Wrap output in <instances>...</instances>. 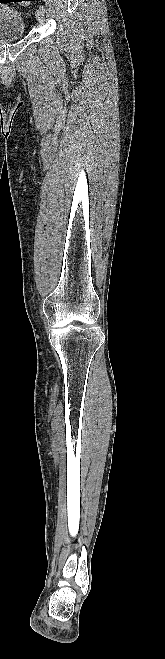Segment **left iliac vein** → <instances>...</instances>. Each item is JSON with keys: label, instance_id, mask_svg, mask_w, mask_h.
<instances>
[{"label": "left iliac vein", "instance_id": "left-iliac-vein-1", "mask_svg": "<svg viewBox=\"0 0 165 659\" xmlns=\"http://www.w3.org/2000/svg\"><path fill=\"white\" fill-rule=\"evenodd\" d=\"M35 17L40 24L45 23V12L41 9H37L35 12Z\"/></svg>", "mask_w": 165, "mask_h": 659}]
</instances>
